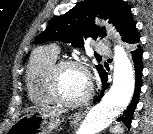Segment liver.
<instances>
[{"label": "liver", "mask_w": 153, "mask_h": 134, "mask_svg": "<svg viewBox=\"0 0 153 134\" xmlns=\"http://www.w3.org/2000/svg\"><path fill=\"white\" fill-rule=\"evenodd\" d=\"M32 111H37V109H27L26 110L27 113L32 112ZM39 111L45 114H48L51 117H60L64 113V111L59 108H51V107L41 108Z\"/></svg>", "instance_id": "6515ba94"}]
</instances>
